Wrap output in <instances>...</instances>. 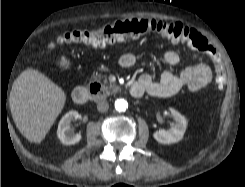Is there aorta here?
<instances>
[{
  "instance_id": "obj_1",
  "label": "aorta",
  "mask_w": 245,
  "mask_h": 187,
  "mask_svg": "<svg viewBox=\"0 0 245 187\" xmlns=\"http://www.w3.org/2000/svg\"><path fill=\"white\" fill-rule=\"evenodd\" d=\"M128 108V102L125 99H117L115 101V109L118 112H124Z\"/></svg>"
}]
</instances>
